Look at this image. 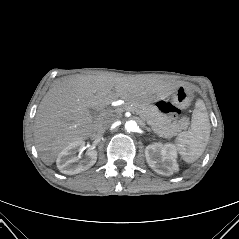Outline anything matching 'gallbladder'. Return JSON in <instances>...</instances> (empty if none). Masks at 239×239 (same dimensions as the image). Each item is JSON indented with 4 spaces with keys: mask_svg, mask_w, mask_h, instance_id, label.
I'll return each mask as SVG.
<instances>
[{
    "mask_svg": "<svg viewBox=\"0 0 239 239\" xmlns=\"http://www.w3.org/2000/svg\"><path fill=\"white\" fill-rule=\"evenodd\" d=\"M91 111V114L94 115L95 114V111L93 109L90 110Z\"/></svg>",
    "mask_w": 239,
    "mask_h": 239,
    "instance_id": "bac80fb5",
    "label": "gallbladder"
}]
</instances>
